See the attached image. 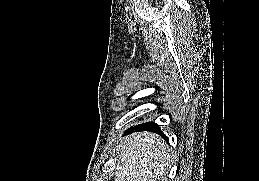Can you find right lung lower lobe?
Segmentation results:
<instances>
[{
	"mask_svg": "<svg viewBox=\"0 0 259 181\" xmlns=\"http://www.w3.org/2000/svg\"><path fill=\"white\" fill-rule=\"evenodd\" d=\"M133 131H136V132L151 131V132L158 133V134L162 135L163 137H165V135L162 133L159 125H157L154 122H147V123H143L140 125H136L134 127L129 128L127 132L132 133ZM165 139H167V138L165 137Z\"/></svg>",
	"mask_w": 259,
	"mask_h": 181,
	"instance_id": "1",
	"label": "right lung lower lobe"
}]
</instances>
